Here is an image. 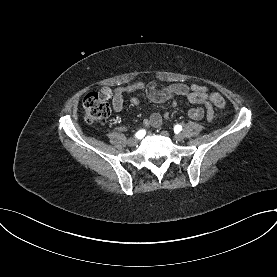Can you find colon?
I'll return each mask as SVG.
<instances>
[{
	"mask_svg": "<svg viewBox=\"0 0 277 277\" xmlns=\"http://www.w3.org/2000/svg\"><path fill=\"white\" fill-rule=\"evenodd\" d=\"M109 97V93L104 90L90 92L86 95L83 101V111L88 123L98 122L110 115ZM210 99L219 109L223 110L225 108V100L220 94L213 93L210 95Z\"/></svg>",
	"mask_w": 277,
	"mask_h": 277,
	"instance_id": "obj_1",
	"label": "colon"
}]
</instances>
